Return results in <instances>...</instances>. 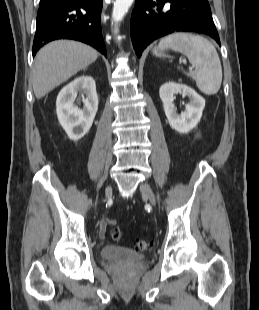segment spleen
<instances>
[{"mask_svg": "<svg viewBox=\"0 0 259 310\" xmlns=\"http://www.w3.org/2000/svg\"><path fill=\"white\" fill-rule=\"evenodd\" d=\"M158 48H171L188 57L195 67L190 74L201 92L213 95L219 91L222 83L221 62L214 45L208 39L191 33H173L162 38Z\"/></svg>", "mask_w": 259, "mask_h": 310, "instance_id": "1", "label": "spleen"}]
</instances>
